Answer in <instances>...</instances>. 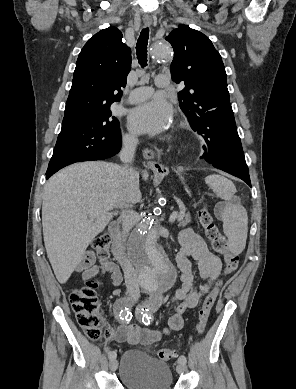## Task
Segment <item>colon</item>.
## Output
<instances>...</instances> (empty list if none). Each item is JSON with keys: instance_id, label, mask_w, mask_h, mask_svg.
I'll return each instance as SVG.
<instances>
[{"instance_id": "5ec220e1", "label": "colon", "mask_w": 296, "mask_h": 389, "mask_svg": "<svg viewBox=\"0 0 296 389\" xmlns=\"http://www.w3.org/2000/svg\"><path fill=\"white\" fill-rule=\"evenodd\" d=\"M200 225L205 230V235L211 243L213 250L224 257V273L230 274L237 270L239 258L228 250L225 237L220 233L213 218L206 207H202L198 212ZM92 247L101 264L108 262L111 251V237L107 232L100 233L93 241ZM97 282L87 281L83 286L73 289L69 300L76 315L79 325L85 331L90 340H99L102 336H109L111 332L104 331V318L100 310V305L96 295ZM218 293V284L204 299L198 316L196 327L198 334L205 331L210 312L214 306ZM157 357L163 361H169L176 357V352L172 349H160L156 353Z\"/></svg>"}]
</instances>
